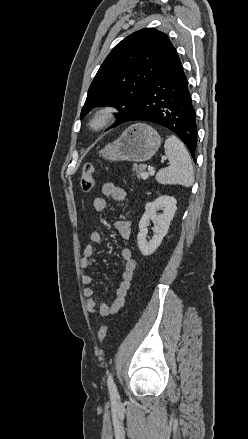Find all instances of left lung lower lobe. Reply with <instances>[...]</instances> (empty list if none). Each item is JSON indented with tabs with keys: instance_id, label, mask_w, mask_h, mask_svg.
<instances>
[{
	"instance_id": "obj_1",
	"label": "left lung lower lobe",
	"mask_w": 248,
	"mask_h": 439,
	"mask_svg": "<svg viewBox=\"0 0 248 439\" xmlns=\"http://www.w3.org/2000/svg\"><path fill=\"white\" fill-rule=\"evenodd\" d=\"M195 117L188 82L175 50L135 109L122 123L143 120L164 126L186 144L192 158L195 159L197 145Z\"/></svg>"
}]
</instances>
